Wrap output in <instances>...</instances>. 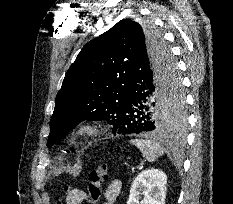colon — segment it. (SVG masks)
Here are the masks:
<instances>
[{
  "label": "colon",
  "mask_w": 233,
  "mask_h": 204,
  "mask_svg": "<svg viewBox=\"0 0 233 204\" xmlns=\"http://www.w3.org/2000/svg\"><path fill=\"white\" fill-rule=\"evenodd\" d=\"M107 165L102 164L89 174L88 190L66 185L64 189L65 204H82L86 199L96 201L101 196V189L107 178ZM56 204H61L58 200Z\"/></svg>",
  "instance_id": "obj_1"
}]
</instances>
